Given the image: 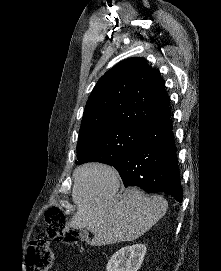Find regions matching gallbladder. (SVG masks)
<instances>
[{
	"mask_svg": "<svg viewBox=\"0 0 221 271\" xmlns=\"http://www.w3.org/2000/svg\"><path fill=\"white\" fill-rule=\"evenodd\" d=\"M79 237L81 241H89V231L88 229H78Z\"/></svg>",
	"mask_w": 221,
	"mask_h": 271,
	"instance_id": "1",
	"label": "gallbladder"
}]
</instances>
